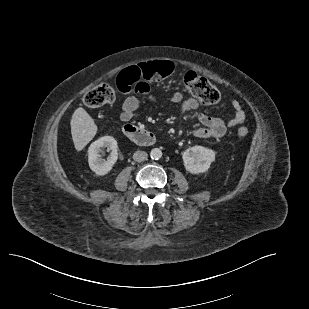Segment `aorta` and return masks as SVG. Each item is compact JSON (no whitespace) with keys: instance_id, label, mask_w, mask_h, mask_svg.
<instances>
[{"instance_id":"762f6f07","label":"aorta","mask_w":309,"mask_h":309,"mask_svg":"<svg viewBox=\"0 0 309 309\" xmlns=\"http://www.w3.org/2000/svg\"><path fill=\"white\" fill-rule=\"evenodd\" d=\"M150 156L153 160H159L162 157L161 149L153 148L150 152Z\"/></svg>"}]
</instances>
